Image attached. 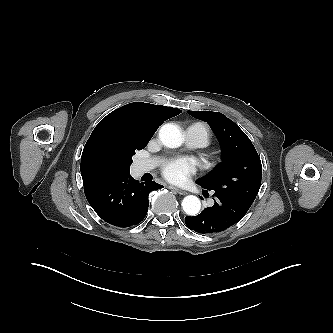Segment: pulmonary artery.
Listing matches in <instances>:
<instances>
[{"label": "pulmonary artery", "instance_id": "obj_1", "mask_svg": "<svg viewBox=\"0 0 333 333\" xmlns=\"http://www.w3.org/2000/svg\"><path fill=\"white\" fill-rule=\"evenodd\" d=\"M185 141L189 148H201L208 143V132L205 126L199 123L192 124L185 131ZM156 164L155 160H142L137 164L138 171H150Z\"/></svg>", "mask_w": 333, "mask_h": 333}]
</instances>
